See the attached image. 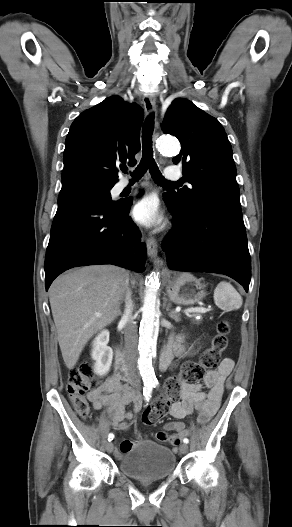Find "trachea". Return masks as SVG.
Instances as JSON below:
<instances>
[{
	"label": "trachea",
	"instance_id": "1",
	"mask_svg": "<svg viewBox=\"0 0 292 527\" xmlns=\"http://www.w3.org/2000/svg\"><path fill=\"white\" fill-rule=\"evenodd\" d=\"M154 130V117L150 115L146 120L143 131H142V159L136 169L131 173L132 180L137 181L140 179L146 171L149 169V172L154 179V181L160 185L164 186H173L177 185L178 182H171L164 179L158 166L153 158V148H152V134ZM123 172H126V169H122Z\"/></svg>",
	"mask_w": 292,
	"mask_h": 527
}]
</instances>
